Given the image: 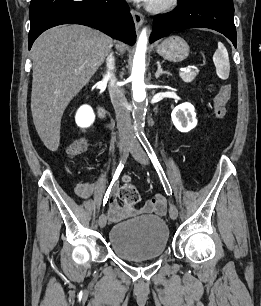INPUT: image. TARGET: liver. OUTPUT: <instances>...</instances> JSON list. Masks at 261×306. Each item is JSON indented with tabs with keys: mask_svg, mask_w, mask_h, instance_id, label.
<instances>
[{
	"mask_svg": "<svg viewBox=\"0 0 261 306\" xmlns=\"http://www.w3.org/2000/svg\"><path fill=\"white\" fill-rule=\"evenodd\" d=\"M112 39L83 25H62L42 33L31 53V112L36 131L50 151L60 144L62 115L104 61ZM118 49L124 53V45Z\"/></svg>",
	"mask_w": 261,
	"mask_h": 306,
	"instance_id": "1",
	"label": "liver"
}]
</instances>
